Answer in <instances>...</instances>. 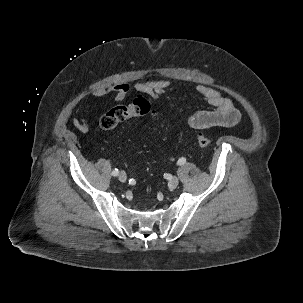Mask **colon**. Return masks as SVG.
Returning a JSON list of instances; mask_svg holds the SVG:
<instances>
[{
  "label": "colon",
  "instance_id": "obj_1",
  "mask_svg": "<svg viewBox=\"0 0 303 303\" xmlns=\"http://www.w3.org/2000/svg\"><path fill=\"white\" fill-rule=\"evenodd\" d=\"M154 114V108L149 101L143 97L136 98L129 105H116L106 111L100 118V127L103 130H112L121 122L132 118ZM196 140L201 148H207L212 140L203 132H198Z\"/></svg>",
  "mask_w": 303,
  "mask_h": 303
}]
</instances>
